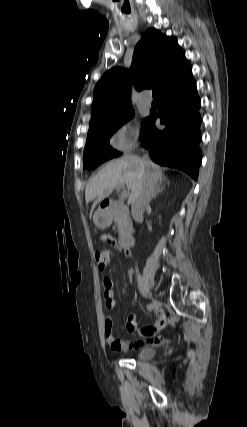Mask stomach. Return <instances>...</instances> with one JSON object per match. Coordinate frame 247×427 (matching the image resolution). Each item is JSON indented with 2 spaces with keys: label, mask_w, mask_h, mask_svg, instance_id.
Here are the masks:
<instances>
[{
  "label": "stomach",
  "mask_w": 247,
  "mask_h": 427,
  "mask_svg": "<svg viewBox=\"0 0 247 427\" xmlns=\"http://www.w3.org/2000/svg\"><path fill=\"white\" fill-rule=\"evenodd\" d=\"M93 221L98 228L105 229L112 223L111 213L107 210L99 209L95 212Z\"/></svg>",
  "instance_id": "1"
}]
</instances>
